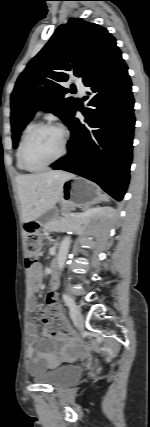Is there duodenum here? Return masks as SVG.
<instances>
[{"mask_svg":"<svg viewBox=\"0 0 150 427\" xmlns=\"http://www.w3.org/2000/svg\"><path fill=\"white\" fill-rule=\"evenodd\" d=\"M52 267L55 269L57 267V260H54L52 263Z\"/></svg>","mask_w":150,"mask_h":427,"instance_id":"1","label":"duodenum"}]
</instances>
